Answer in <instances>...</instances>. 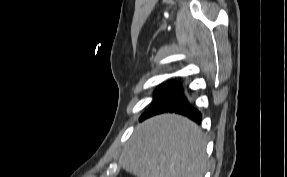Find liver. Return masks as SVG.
Here are the masks:
<instances>
[{"label":"liver","mask_w":287,"mask_h":177,"mask_svg":"<svg viewBox=\"0 0 287 177\" xmlns=\"http://www.w3.org/2000/svg\"><path fill=\"white\" fill-rule=\"evenodd\" d=\"M206 140L199 126L177 114H161L138 124L120 159L137 177H202Z\"/></svg>","instance_id":"6515ba94"}]
</instances>
